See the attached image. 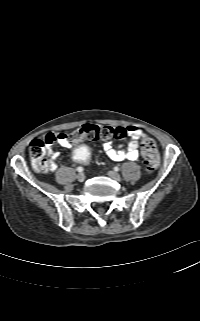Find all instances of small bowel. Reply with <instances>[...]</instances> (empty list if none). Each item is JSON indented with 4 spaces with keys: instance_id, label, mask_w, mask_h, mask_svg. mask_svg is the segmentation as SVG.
<instances>
[{
    "instance_id": "1",
    "label": "small bowel",
    "mask_w": 200,
    "mask_h": 321,
    "mask_svg": "<svg viewBox=\"0 0 200 321\" xmlns=\"http://www.w3.org/2000/svg\"><path fill=\"white\" fill-rule=\"evenodd\" d=\"M125 134L128 136L129 140L127 142L126 148L122 149L120 147H115L111 141H105L102 145L105 154L108 156L109 159L112 161L120 162L123 160L135 161L138 159L139 152H138V142L141 138L146 139L147 135L143 132V130L137 126H127L124 128ZM53 135L55 137L54 142H57L62 147L70 149L72 148L75 143H73L69 136L63 132L57 133H48L47 135ZM50 143L48 147V154L51 158V165L50 171H55L57 166L54 163L59 156L58 152L51 150Z\"/></svg>"
}]
</instances>
